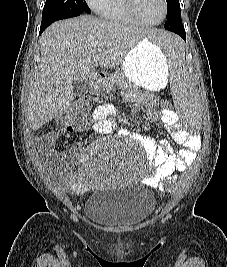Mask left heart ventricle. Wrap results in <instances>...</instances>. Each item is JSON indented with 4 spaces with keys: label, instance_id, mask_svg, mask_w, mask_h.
Here are the masks:
<instances>
[{
    "label": "left heart ventricle",
    "instance_id": "1",
    "mask_svg": "<svg viewBox=\"0 0 227 267\" xmlns=\"http://www.w3.org/2000/svg\"><path fill=\"white\" fill-rule=\"evenodd\" d=\"M137 10L141 17L148 22H156L163 14L161 0H137Z\"/></svg>",
    "mask_w": 227,
    "mask_h": 267
}]
</instances>
